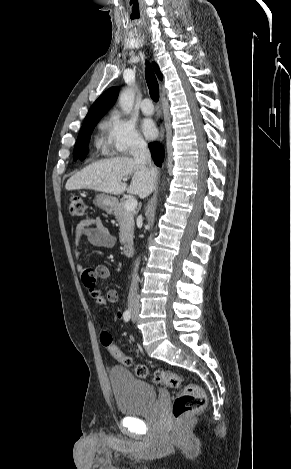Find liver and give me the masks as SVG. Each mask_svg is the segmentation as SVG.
Returning a JSON list of instances; mask_svg holds the SVG:
<instances>
[{"instance_id": "1", "label": "liver", "mask_w": 291, "mask_h": 469, "mask_svg": "<svg viewBox=\"0 0 291 469\" xmlns=\"http://www.w3.org/2000/svg\"><path fill=\"white\" fill-rule=\"evenodd\" d=\"M157 174L153 166L122 156L86 166L67 180L65 188L66 190L93 189L114 195L127 191L144 199L153 191ZM129 176H132V180L127 186L125 181Z\"/></svg>"}]
</instances>
